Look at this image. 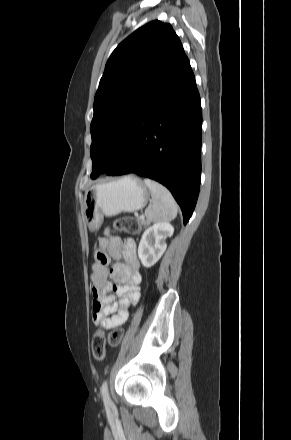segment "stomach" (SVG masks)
Masks as SVG:
<instances>
[{
  "mask_svg": "<svg viewBox=\"0 0 291 440\" xmlns=\"http://www.w3.org/2000/svg\"><path fill=\"white\" fill-rule=\"evenodd\" d=\"M150 191L144 182L133 175L97 183L85 190L82 209L90 230L98 228L103 216L134 212L146 206Z\"/></svg>",
  "mask_w": 291,
  "mask_h": 440,
  "instance_id": "obj_1",
  "label": "stomach"
}]
</instances>
